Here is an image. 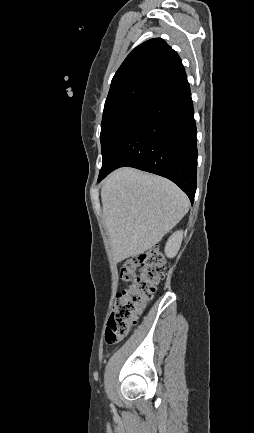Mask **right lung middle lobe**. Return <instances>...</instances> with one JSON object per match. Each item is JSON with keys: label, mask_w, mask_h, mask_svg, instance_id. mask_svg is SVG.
I'll use <instances>...</instances> for the list:
<instances>
[{"label": "right lung middle lobe", "mask_w": 254, "mask_h": 433, "mask_svg": "<svg viewBox=\"0 0 254 433\" xmlns=\"http://www.w3.org/2000/svg\"><path fill=\"white\" fill-rule=\"evenodd\" d=\"M146 101L147 100L131 99L104 108L100 134L103 157L102 168L105 166L121 131Z\"/></svg>", "instance_id": "dd1d6c3e"}]
</instances>
